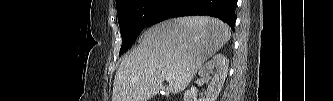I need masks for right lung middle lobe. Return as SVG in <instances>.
Segmentation results:
<instances>
[{
	"mask_svg": "<svg viewBox=\"0 0 333 101\" xmlns=\"http://www.w3.org/2000/svg\"><path fill=\"white\" fill-rule=\"evenodd\" d=\"M166 0H119L116 2L117 16L122 36V55L136 40L163 7Z\"/></svg>",
	"mask_w": 333,
	"mask_h": 101,
	"instance_id": "obj_1",
	"label": "right lung middle lobe"
}]
</instances>
